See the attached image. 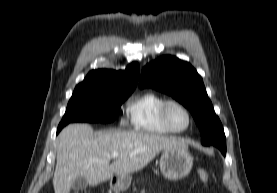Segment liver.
I'll use <instances>...</instances> for the list:
<instances>
[{
    "instance_id": "liver-1",
    "label": "liver",
    "mask_w": 277,
    "mask_h": 193,
    "mask_svg": "<svg viewBox=\"0 0 277 193\" xmlns=\"http://www.w3.org/2000/svg\"><path fill=\"white\" fill-rule=\"evenodd\" d=\"M57 161L53 177L55 193H70L73 180L84 177L94 186L138 171L162 150L187 148L184 140L142 131L93 132L88 124H70L56 142ZM119 156L110 164L111 154Z\"/></svg>"
}]
</instances>
